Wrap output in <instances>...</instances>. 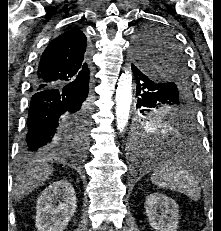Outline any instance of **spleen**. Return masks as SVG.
I'll list each match as a JSON object with an SVG mask.
<instances>
[{"mask_svg":"<svg viewBox=\"0 0 221 231\" xmlns=\"http://www.w3.org/2000/svg\"><path fill=\"white\" fill-rule=\"evenodd\" d=\"M151 182L160 188L185 194L193 200L200 198L201 189L199 182L179 164H174L171 161H165L164 164L152 174Z\"/></svg>","mask_w":221,"mask_h":231,"instance_id":"1","label":"spleen"}]
</instances>
